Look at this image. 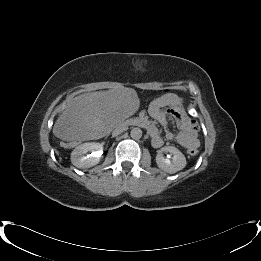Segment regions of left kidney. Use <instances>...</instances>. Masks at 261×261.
I'll return each instance as SVG.
<instances>
[{
    "mask_svg": "<svg viewBox=\"0 0 261 261\" xmlns=\"http://www.w3.org/2000/svg\"><path fill=\"white\" fill-rule=\"evenodd\" d=\"M163 152H168L172 158H165ZM156 163L158 167L170 174L182 170L187 162L184 154L174 146H165L157 153Z\"/></svg>",
    "mask_w": 261,
    "mask_h": 261,
    "instance_id": "1",
    "label": "left kidney"
}]
</instances>
